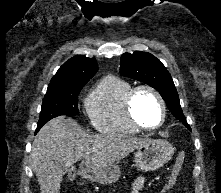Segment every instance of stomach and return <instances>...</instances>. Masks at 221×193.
I'll return each instance as SVG.
<instances>
[{
	"label": "stomach",
	"instance_id": "1",
	"mask_svg": "<svg viewBox=\"0 0 221 193\" xmlns=\"http://www.w3.org/2000/svg\"><path fill=\"white\" fill-rule=\"evenodd\" d=\"M174 154V147L166 140H149L135 152V164L139 170L154 171L166 164ZM79 174L84 178L108 184L120 177V168L116 164L95 166L86 160L80 164Z\"/></svg>",
	"mask_w": 221,
	"mask_h": 193
}]
</instances>
